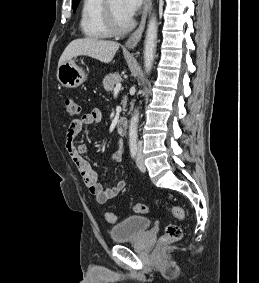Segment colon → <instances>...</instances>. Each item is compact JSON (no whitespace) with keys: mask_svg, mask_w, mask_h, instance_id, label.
Wrapping results in <instances>:
<instances>
[{"mask_svg":"<svg viewBox=\"0 0 259 283\" xmlns=\"http://www.w3.org/2000/svg\"><path fill=\"white\" fill-rule=\"evenodd\" d=\"M66 104V109L67 113L70 116H78L81 113V107L79 103L71 98L66 99L65 101ZM134 211L137 213H147L148 207L147 205L143 203H138L134 206ZM172 214L177 220H183L185 218V211L183 208H181L178 205H174L172 207ZM106 221L110 224H113L116 222V217L114 213L112 212H107L105 215ZM183 231L181 227L177 224H169L166 229L164 234L160 237V243L162 244H168V243H173L176 241H179L182 238Z\"/></svg>","mask_w":259,"mask_h":283,"instance_id":"1","label":"colon"}]
</instances>
